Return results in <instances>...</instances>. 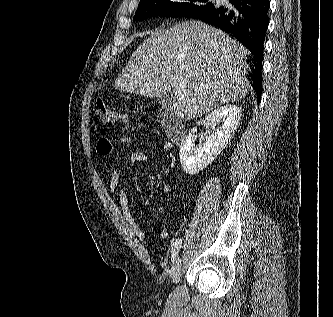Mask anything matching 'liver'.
<instances>
[{"label":"liver","instance_id":"6515ba94","mask_svg":"<svg viewBox=\"0 0 333 317\" xmlns=\"http://www.w3.org/2000/svg\"><path fill=\"white\" fill-rule=\"evenodd\" d=\"M247 54L223 31L200 21H185L151 33L132 54L115 88L153 98L181 86L186 96L172 111L190 120L246 96Z\"/></svg>","mask_w":333,"mask_h":317}]
</instances>
